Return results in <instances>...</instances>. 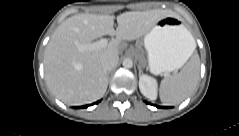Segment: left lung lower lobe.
Wrapping results in <instances>:
<instances>
[{"mask_svg": "<svg viewBox=\"0 0 239 136\" xmlns=\"http://www.w3.org/2000/svg\"><path fill=\"white\" fill-rule=\"evenodd\" d=\"M158 108H168V107L158 106Z\"/></svg>", "mask_w": 239, "mask_h": 136, "instance_id": "left-lung-lower-lobe-1", "label": "left lung lower lobe"}]
</instances>
